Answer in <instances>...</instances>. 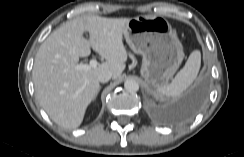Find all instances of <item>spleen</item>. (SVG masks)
Here are the masks:
<instances>
[{
  "mask_svg": "<svg viewBox=\"0 0 244 157\" xmlns=\"http://www.w3.org/2000/svg\"><path fill=\"white\" fill-rule=\"evenodd\" d=\"M201 64V53L194 50L184 67L177 73L170 84L157 88V91L168 97H177L188 88L196 78Z\"/></svg>",
  "mask_w": 244,
  "mask_h": 157,
  "instance_id": "1",
  "label": "spleen"
}]
</instances>
